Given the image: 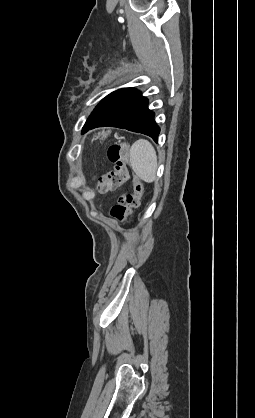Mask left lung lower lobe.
Instances as JSON below:
<instances>
[{"instance_id":"0a47b994","label":"left lung lower lobe","mask_w":255,"mask_h":418,"mask_svg":"<svg viewBox=\"0 0 255 418\" xmlns=\"http://www.w3.org/2000/svg\"><path fill=\"white\" fill-rule=\"evenodd\" d=\"M148 109V99L134 88L118 89L96 106L87 119L82 133L102 126H111L142 133L157 141L160 128Z\"/></svg>"}]
</instances>
